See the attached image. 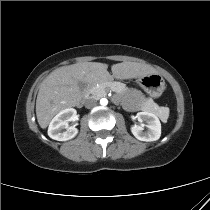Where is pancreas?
I'll return each mask as SVG.
<instances>
[{
  "label": "pancreas",
  "mask_w": 210,
  "mask_h": 210,
  "mask_svg": "<svg viewBox=\"0 0 210 210\" xmlns=\"http://www.w3.org/2000/svg\"><path fill=\"white\" fill-rule=\"evenodd\" d=\"M110 89L116 93H121L126 90V85L121 82H107L103 84L94 85L89 89V93L95 98H101L107 94V90ZM142 109L146 112H157L159 106L154 103L153 100L148 99L142 105Z\"/></svg>",
  "instance_id": "pancreas-1"
}]
</instances>
